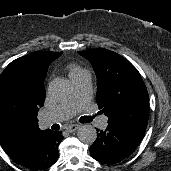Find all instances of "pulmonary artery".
<instances>
[{
    "instance_id": "pulmonary-artery-1",
    "label": "pulmonary artery",
    "mask_w": 171,
    "mask_h": 171,
    "mask_svg": "<svg viewBox=\"0 0 171 171\" xmlns=\"http://www.w3.org/2000/svg\"><path fill=\"white\" fill-rule=\"evenodd\" d=\"M71 82L74 88L71 97L46 112L45 120L48 124L69 119L79 110L89 106L92 99V82L90 73L86 71L75 76L71 78ZM107 124V117L103 116L99 118V127L106 128Z\"/></svg>"
}]
</instances>
